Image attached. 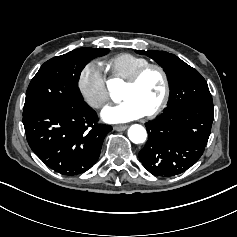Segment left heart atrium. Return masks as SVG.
Here are the masks:
<instances>
[{"instance_id": "left-heart-atrium-1", "label": "left heart atrium", "mask_w": 237, "mask_h": 237, "mask_svg": "<svg viewBox=\"0 0 237 237\" xmlns=\"http://www.w3.org/2000/svg\"><path fill=\"white\" fill-rule=\"evenodd\" d=\"M143 116L144 113L130 100L106 106L101 113L103 121L109 124L125 123Z\"/></svg>"}]
</instances>
